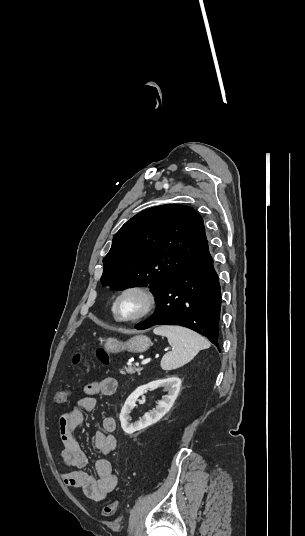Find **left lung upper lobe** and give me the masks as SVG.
Wrapping results in <instances>:
<instances>
[{
	"instance_id": "5c2ea615",
	"label": "left lung upper lobe",
	"mask_w": 305,
	"mask_h": 536,
	"mask_svg": "<svg viewBox=\"0 0 305 536\" xmlns=\"http://www.w3.org/2000/svg\"><path fill=\"white\" fill-rule=\"evenodd\" d=\"M207 245L202 217L185 205L147 209L126 222L104 257L103 286H149L157 294Z\"/></svg>"
}]
</instances>
